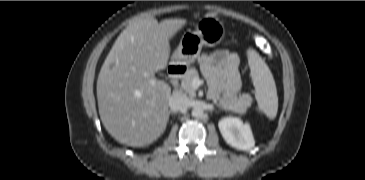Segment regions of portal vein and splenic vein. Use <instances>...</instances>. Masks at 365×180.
<instances>
[{
    "label": "portal vein and splenic vein",
    "instance_id": "18ae733b",
    "mask_svg": "<svg viewBox=\"0 0 365 180\" xmlns=\"http://www.w3.org/2000/svg\"><path fill=\"white\" fill-rule=\"evenodd\" d=\"M152 84H155V81H152ZM200 85V80L198 78L193 79L192 81V88L196 90Z\"/></svg>",
    "mask_w": 365,
    "mask_h": 180
}]
</instances>
